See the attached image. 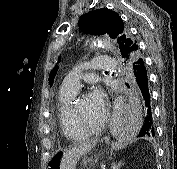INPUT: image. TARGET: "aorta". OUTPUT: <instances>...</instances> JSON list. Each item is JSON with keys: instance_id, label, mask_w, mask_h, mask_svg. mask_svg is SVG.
I'll use <instances>...</instances> for the list:
<instances>
[{"instance_id": "aorta-1", "label": "aorta", "mask_w": 177, "mask_h": 169, "mask_svg": "<svg viewBox=\"0 0 177 169\" xmlns=\"http://www.w3.org/2000/svg\"><path fill=\"white\" fill-rule=\"evenodd\" d=\"M93 45H94V46H96V45L103 46V47L107 48V49L110 50V51H113V50H114V47H113V45L110 43V41L107 40V39H104V38H103V39H97L96 41H94Z\"/></svg>"}]
</instances>
